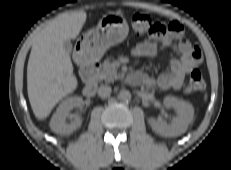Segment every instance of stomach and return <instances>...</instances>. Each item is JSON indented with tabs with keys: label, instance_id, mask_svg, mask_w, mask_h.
<instances>
[{
	"label": "stomach",
	"instance_id": "stomach-1",
	"mask_svg": "<svg viewBox=\"0 0 231 170\" xmlns=\"http://www.w3.org/2000/svg\"><path fill=\"white\" fill-rule=\"evenodd\" d=\"M128 31V24L123 17L117 14L104 15L97 27L84 34L80 44L87 53L99 58L109 47L121 43Z\"/></svg>",
	"mask_w": 231,
	"mask_h": 170
}]
</instances>
